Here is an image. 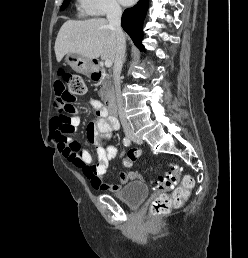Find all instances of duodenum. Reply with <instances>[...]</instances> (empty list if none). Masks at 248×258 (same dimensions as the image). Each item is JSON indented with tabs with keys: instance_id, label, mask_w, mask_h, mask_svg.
I'll return each instance as SVG.
<instances>
[{
	"instance_id": "410a0bca",
	"label": "duodenum",
	"mask_w": 248,
	"mask_h": 258,
	"mask_svg": "<svg viewBox=\"0 0 248 258\" xmlns=\"http://www.w3.org/2000/svg\"><path fill=\"white\" fill-rule=\"evenodd\" d=\"M92 76L95 80H98L101 77V72L97 67H95V69L93 70ZM106 110H107L108 115H110L112 118L116 117L117 107H116V101H115L114 96H110L107 99Z\"/></svg>"
}]
</instances>
